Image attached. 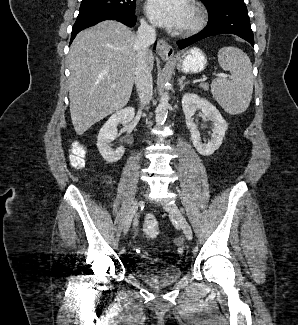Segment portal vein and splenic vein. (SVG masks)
<instances>
[{"mask_svg":"<svg viewBox=\"0 0 298 325\" xmlns=\"http://www.w3.org/2000/svg\"><path fill=\"white\" fill-rule=\"evenodd\" d=\"M215 76H221V74H215Z\"/></svg>","mask_w":298,"mask_h":325,"instance_id":"obj_1","label":"portal vein and splenic vein"}]
</instances>
